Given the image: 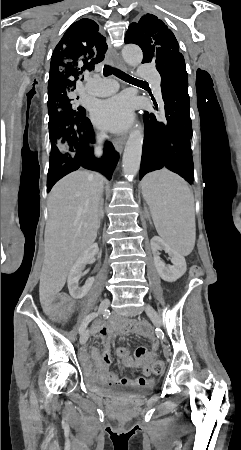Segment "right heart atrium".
Returning a JSON list of instances; mask_svg holds the SVG:
<instances>
[{
  "label": "right heart atrium",
  "mask_w": 241,
  "mask_h": 450,
  "mask_svg": "<svg viewBox=\"0 0 241 450\" xmlns=\"http://www.w3.org/2000/svg\"><path fill=\"white\" fill-rule=\"evenodd\" d=\"M98 139H102V135L98 134ZM98 153L100 155H107L109 153V148L107 146H100L98 148Z\"/></svg>",
  "instance_id": "1"
}]
</instances>
